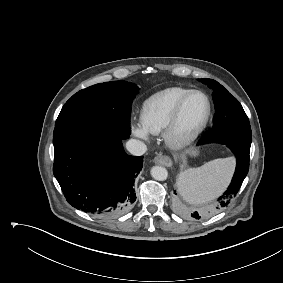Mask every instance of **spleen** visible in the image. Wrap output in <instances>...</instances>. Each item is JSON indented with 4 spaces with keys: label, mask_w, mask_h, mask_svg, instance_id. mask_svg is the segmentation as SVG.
I'll return each instance as SVG.
<instances>
[{
    "label": "spleen",
    "mask_w": 283,
    "mask_h": 283,
    "mask_svg": "<svg viewBox=\"0 0 283 283\" xmlns=\"http://www.w3.org/2000/svg\"><path fill=\"white\" fill-rule=\"evenodd\" d=\"M232 157L219 158L182 172L177 187L190 204H203L219 196L228 185L234 169Z\"/></svg>",
    "instance_id": "1"
}]
</instances>
